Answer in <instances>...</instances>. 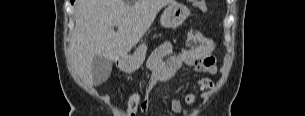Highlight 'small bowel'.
<instances>
[{
  "instance_id": "c3829d8e",
  "label": "small bowel",
  "mask_w": 305,
  "mask_h": 116,
  "mask_svg": "<svg viewBox=\"0 0 305 116\" xmlns=\"http://www.w3.org/2000/svg\"><path fill=\"white\" fill-rule=\"evenodd\" d=\"M148 68L151 75L146 83L144 96L142 98L141 111L145 113L149 106V96L157 83L170 80L183 65L194 67L195 71L208 74L217 72L216 60L213 56V45L210 42L199 40L193 47L182 49L176 52L170 42L161 44L150 55ZM214 87L212 79L204 77L198 80L196 88L208 93ZM187 105H192L196 101V96L192 92H187L183 97ZM170 108L175 114H182L181 101L173 98Z\"/></svg>"
}]
</instances>
